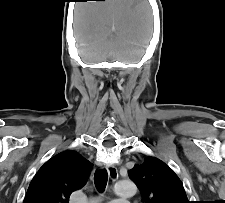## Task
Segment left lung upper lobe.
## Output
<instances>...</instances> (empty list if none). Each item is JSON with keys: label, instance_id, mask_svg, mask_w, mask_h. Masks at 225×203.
I'll return each instance as SVG.
<instances>
[{"label": "left lung upper lobe", "instance_id": "obj_1", "mask_svg": "<svg viewBox=\"0 0 225 203\" xmlns=\"http://www.w3.org/2000/svg\"><path fill=\"white\" fill-rule=\"evenodd\" d=\"M130 178L136 183L145 203H190L183 184L174 171L154 157L135 165Z\"/></svg>", "mask_w": 225, "mask_h": 203}]
</instances>
